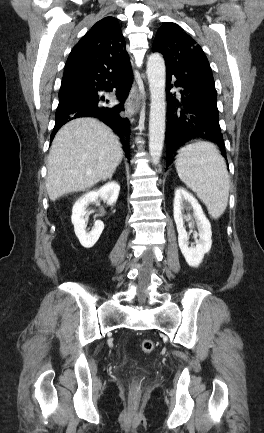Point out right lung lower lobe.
<instances>
[{"instance_id": "right-lung-lower-lobe-1", "label": "right lung lower lobe", "mask_w": 264, "mask_h": 433, "mask_svg": "<svg viewBox=\"0 0 264 433\" xmlns=\"http://www.w3.org/2000/svg\"><path fill=\"white\" fill-rule=\"evenodd\" d=\"M132 77L131 64L117 69L101 68L63 76L51 139L68 121L78 117H94L118 134L125 152L129 153V120L121 115L124 110L121 103L129 94ZM101 91H116L120 104H110L99 94Z\"/></svg>"}]
</instances>
